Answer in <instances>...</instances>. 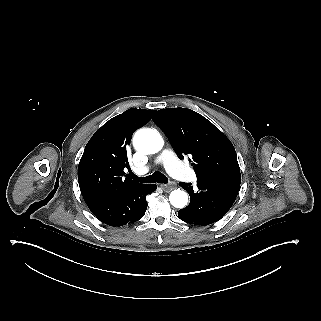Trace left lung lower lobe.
<instances>
[{"instance_id": "left-lung-lower-lobe-1", "label": "left lung lower lobe", "mask_w": 321, "mask_h": 321, "mask_svg": "<svg viewBox=\"0 0 321 321\" xmlns=\"http://www.w3.org/2000/svg\"><path fill=\"white\" fill-rule=\"evenodd\" d=\"M241 183L240 173H217L197 177V188L191 183L179 185L190 195L189 205L178 212L182 221L209 225L221 219L233 205Z\"/></svg>"}]
</instances>
